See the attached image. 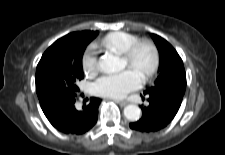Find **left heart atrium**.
I'll use <instances>...</instances> for the list:
<instances>
[{"mask_svg":"<svg viewBox=\"0 0 225 155\" xmlns=\"http://www.w3.org/2000/svg\"><path fill=\"white\" fill-rule=\"evenodd\" d=\"M142 84V77L133 69L107 74L95 81L93 92L98 96L122 98Z\"/></svg>","mask_w":225,"mask_h":155,"instance_id":"1","label":"left heart atrium"}]
</instances>
